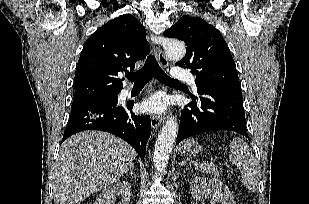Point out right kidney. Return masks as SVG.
Returning <instances> with one entry per match:
<instances>
[{
  "instance_id": "right-kidney-1",
  "label": "right kidney",
  "mask_w": 309,
  "mask_h": 204,
  "mask_svg": "<svg viewBox=\"0 0 309 204\" xmlns=\"http://www.w3.org/2000/svg\"><path fill=\"white\" fill-rule=\"evenodd\" d=\"M116 196H121L120 204H129L131 184L123 181L105 188L94 204H113Z\"/></svg>"
}]
</instances>
